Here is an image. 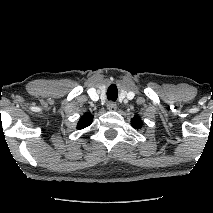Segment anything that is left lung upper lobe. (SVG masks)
<instances>
[{
    "instance_id": "1",
    "label": "left lung upper lobe",
    "mask_w": 213,
    "mask_h": 213,
    "mask_svg": "<svg viewBox=\"0 0 213 213\" xmlns=\"http://www.w3.org/2000/svg\"><path fill=\"white\" fill-rule=\"evenodd\" d=\"M132 125H133L135 128H137V129L141 128L142 122H141L140 118L137 117V116H135V117L132 119Z\"/></svg>"
}]
</instances>
